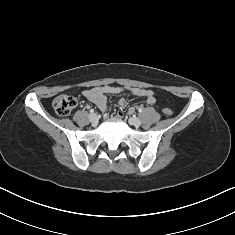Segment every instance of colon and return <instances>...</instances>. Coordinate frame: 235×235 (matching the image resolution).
Returning a JSON list of instances; mask_svg holds the SVG:
<instances>
[{"instance_id": "5ec220e1", "label": "colon", "mask_w": 235, "mask_h": 235, "mask_svg": "<svg viewBox=\"0 0 235 235\" xmlns=\"http://www.w3.org/2000/svg\"><path fill=\"white\" fill-rule=\"evenodd\" d=\"M76 99L70 95H59L53 101V108L59 116H67L76 107ZM165 115H171L172 110L168 107L163 109Z\"/></svg>"}]
</instances>
